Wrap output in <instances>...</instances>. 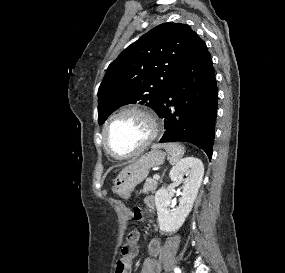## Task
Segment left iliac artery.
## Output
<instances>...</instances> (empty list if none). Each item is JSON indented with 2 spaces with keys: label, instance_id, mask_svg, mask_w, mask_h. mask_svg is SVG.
Segmentation results:
<instances>
[{
  "label": "left iliac artery",
  "instance_id": "left-iliac-artery-1",
  "mask_svg": "<svg viewBox=\"0 0 285 273\" xmlns=\"http://www.w3.org/2000/svg\"><path fill=\"white\" fill-rule=\"evenodd\" d=\"M174 272H175V273H181V269H180L179 267H175V268H174Z\"/></svg>",
  "mask_w": 285,
  "mask_h": 273
}]
</instances>
